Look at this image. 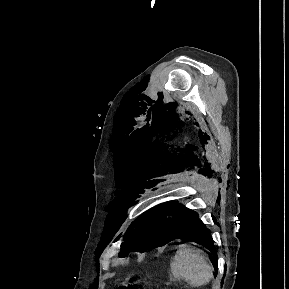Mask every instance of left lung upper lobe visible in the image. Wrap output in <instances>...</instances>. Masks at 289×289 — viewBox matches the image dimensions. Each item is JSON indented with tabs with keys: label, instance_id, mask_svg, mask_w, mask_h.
Masks as SVG:
<instances>
[{
	"label": "left lung upper lobe",
	"instance_id": "obj_1",
	"mask_svg": "<svg viewBox=\"0 0 289 289\" xmlns=\"http://www.w3.org/2000/svg\"><path fill=\"white\" fill-rule=\"evenodd\" d=\"M165 205L143 213L132 222L124 235L120 256L125 257L131 251L144 252L150 246H162L168 242V222L160 210Z\"/></svg>",
	"mask_w": 289,
	"mask_h": 289
}]
</instances>
